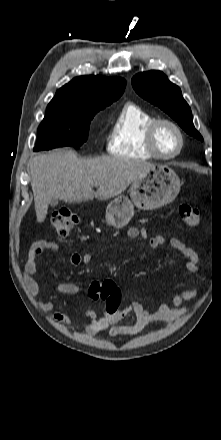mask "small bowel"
Listing matches in <instances>:
<instances>
[{"mask_svg": "<svg viewBox=\"0 0 221 440\" xmlns=\"http://www.w3.org/2000/svg\"><path fill=\"white\" fill-rule=\"evenodd\" d=\"M129 238L141 237L146 239L148 234L146 229L130 227L127 231ZM151 248L157 249L161 246L168 245L171 248L179 251L186 260L183 265L186 270L196 273L199 271L198 255L186 246L178 238L166 239L162 235H156L149 240ZM59 252L60 246L57 242L38 240L30 247L27 260L24 265L23 282L28 293L36 298L39 293V286L34 279L37 273L36 260L45 251ZM71 264L74 266H85L93 261L91 254H72L69 258ZM91 284V283H90ZM90 284L84 287L80 284L73 282L60 283L56 291L59 295L80 296L85 293L88 294ZM197 291L194 289L186 290L182 289L176 292L172 303L170 305L163 304L155 312L148 311L144 305L139 301H132L125 307H119V315H110V319H105V308L101 315H98L95 311L90 309L83 310V314L88 320V324L82 329V331L89 336L97 335L104 331H109V334L113 337L116 336H135L139 334L149 323L152 322H173L188 312V308L182 306L184 301L196 298ZM40 308L45 312H52L55 309V304L52 301L41 302L39 301ZM129 314L134 315V320L130 323H122V320ZM52 318L59 324H70L72 318L69 314L56 311L52 314Z\"/></svg>", "mask_w": 221, "mask_h": 440, "instance_id": "c3829d8e", "label": "small bowel"}]
</instances>
